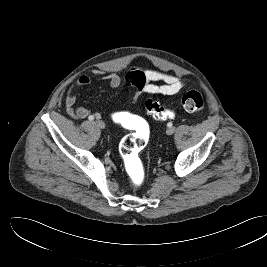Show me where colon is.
<instances>
[{
	"label": "colon",
	"instance_id": "1",
	"mask_svg": "<svg viewBox=\"0 0 267 267\" xmlns=\"http://www.w3.org/2000/svg\"><path fill=\"white\" fill-rule=\"evenodd\" d=\"M204 104V98L199 92L189 91L182 96L179 106L187 112H198L204 108ZM145 108L148 114L157 120H166L175 115L173 110L153 99L146 100ZM110 118L114 123L132 130V133L122 139L120 154L132 184L139 187L145 179L140 153L148 143L149 128L142 119L125 111H114L110 114Z\"/></svg>",
	"mask_w": 267,
	"mask_h": 267
}]
</instances>
